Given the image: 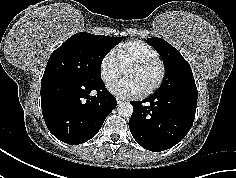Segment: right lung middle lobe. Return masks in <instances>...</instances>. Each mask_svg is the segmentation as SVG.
Returning <instances> with one entry per match:
<instances>
[{"label":"right lung middle lobe","mask_w":236,"mask_h":178,"mask_svg":"<svg viewBox=\"0 0 236 178\" xmlns=\"http://www.w3.org/2000/svg\"><path fill=\"white\" fill-rule=\"evenodd\" d=\"M122 39L77 33L50 55L42 79L58 77L89 84L102 82V60Z\"/></svg>","instance_id":"obj_1"}]
</instances>
